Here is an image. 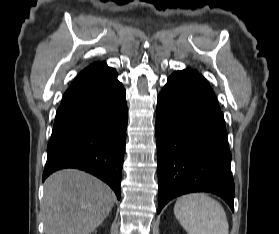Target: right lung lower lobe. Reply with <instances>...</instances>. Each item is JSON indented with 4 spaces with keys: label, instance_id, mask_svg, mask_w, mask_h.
I'll return each instance as SVG.
<instances>
[{
    "label": "right lung lower lobe",
    "instance_id": "1",
    "mask_svg": "<svg viewBox=\"0 0 279 234\" xmlns=\"http://www.w3.org/2000/svg\"><path fill=\"white\" fill-rule=\"evenodd\" d=\"M117 76L103 62L73 80L56 113L43 181L77 168L105 181L120 199L128 111Z\"/></svg>",
    "mask_w": 279,
    "mask_h": 234
}]
</instances>
